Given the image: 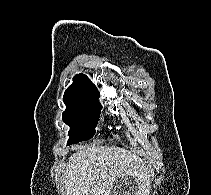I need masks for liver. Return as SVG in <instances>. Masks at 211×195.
<instances>
[{"label": "liver", "instance_id": "liver-1", "mask_svg": "<svg viewBox=\"0 0 211 195\" xmlns=\"http://www.w3.org/2000/svg\"><path fill=\"white\" fill-rule=\"evenodd\" d=\"M152 172L146 162L129 150L117 146H82L69 157L63 174L65 195H118L115 183L132 178L135 190L127 195H148Z\"/></svg>", "mask_w": 211, "mask_h": 195}]
</instances>
